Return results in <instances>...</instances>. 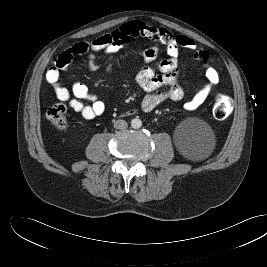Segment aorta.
I'll return each instance as SVG.
<instances>
[{
	"mask_svg": "<svg viewBox=\"0 0 267 267\" xmlns=\"http://www.w3.org/2000/svg\"><path fill=\"white\" fill-rule=\"evenodd\" d=\"M131 126L134 129H138L142 126V121L139 118H134L131 120Z\"/></svg>",
	"mask_w": 267,
	"mask_h": 267,
	"instance_id": "obj_1",
	"label": "aorta"
}]
</instances>
